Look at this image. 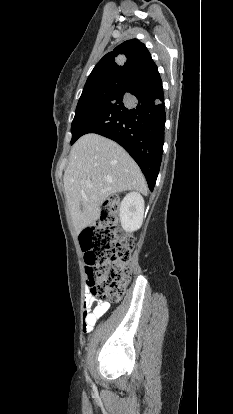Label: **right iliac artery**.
Here are the masks:
<instances>
[{"mask_svg":"<svg viewBox=\"0 0 233 414\" xmlns=\"http://www.w3.org/2000/svg\"><path fill=\"white\" fill-rule=\"evenodd\" d=\"M85 374H86V379L88 380V379H89V377H88V375H87V372H85Z\"/></svg>","mask_w":233,"mask_h":414,"instance_id":"82829eb1","label":"right iliac artery"}]
</instances>
